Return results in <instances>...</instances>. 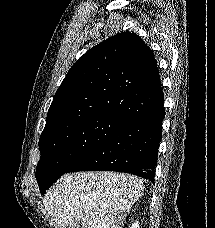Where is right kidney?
<instances>
[{"label":"right kidney","instance_id":"1","mask_svg":"<svg viewBox=\"0 0 215 228\" xmlns=\"http://www.w3.org/2000/svg\"><path fill=\"white\" fill-rule=\"evenodd\" d=\"M131 228H140L139 222H137V220H135V222H133Z\"/></svg>","mask_w":215,"mask_h":228}]
</instances>
